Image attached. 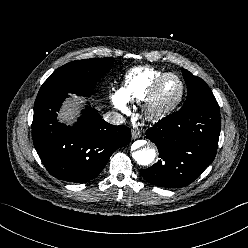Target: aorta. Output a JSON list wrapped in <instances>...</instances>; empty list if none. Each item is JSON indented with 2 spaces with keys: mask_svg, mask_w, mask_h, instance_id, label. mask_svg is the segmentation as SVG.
Returning <instances> with one entry per match:
<instances>
[{
  "mask_svg": "<svg viewBox=\"0 0 248 248\" xmlns=\"http://www.w3.org/2000/svg\"><path fill=\"white\" fill-rule=\"evenodd\" d=\"M134 149L132 156L140 165L147 166L151 164L156 157L155 149L151 147V143L146 141H136L134 143Z\"/></svg>",
  "mask_w": 248,
  "mask_h": 248,
  "instance_id": "1",
  "label": "aorta"
}]
</instances>
